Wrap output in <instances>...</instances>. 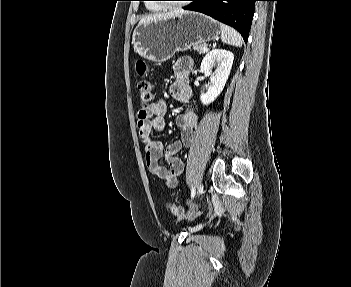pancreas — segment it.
<instances>
[{"mask_svg": "<svg viewBox=\"0 0 351 287\" xmlns=\"http://www.w3.org/2000/svg\"><path fill=\"white\" fill-rule=\"evenodd\" d=\"M193 47V50L202 53L204 52L203 48L205 46V43H192L191 45Z\"/></svg>", "mask_w": 351, "mask_h": 287, "instance_id": "cf45deb5", "label": "pancreas"}]
</instances>
